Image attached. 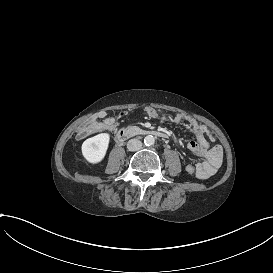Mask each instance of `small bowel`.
Instances as JSON below:
<instances>
[{
    "label": "small bowel",
    "mask_w": 273,
    "mask_h": 273,
    "mask_svg": "<svg viewBox=\"0 0 273 273\" xmlns=\"http://www.w3.org/2000/svg\"><path fill=\"white\" fill-rule=\"evenodd\" d=\"M124 117L125 113L123 112L118 116H109L106 112H99L95 116L96 120L94 125L88 128L84 126L81 127L80 134L87 136L103 131H114ZM172 121L178 127H182L184 126V123H187L184 129L195 137V140L190 141L187 144V147L192 153L203 159V161L198 163L196 167L192 165L187 166V172L193 173L196 170L198 178H209L216 172L222 163V147L220 145H209L207 140V136H211L209 129L205 125L198 123L195 119L188 118L183 114H177ZM190 168L193 170L190 171Z\"/></svg>",
    "instance_id": "obj_1"
}]
</instances>
